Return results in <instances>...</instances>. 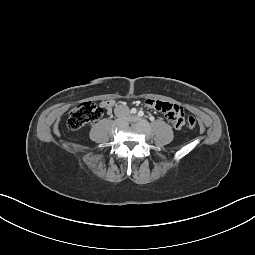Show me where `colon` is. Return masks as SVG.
I'll return each instance as SVG.
<instances>
[{"label": "colon", "mask_w": 255, "mask_h": 255, "mask_svg": "<svg viewBox=\"0 0 255 255\" xmlns=\"http://www.w3.org/2000/svg\"><path fill=\"white\" fill-rule=\"evenodd\" d=\"M102 113V109L98 107L95 103L84 102L78 104L69 112L67 122L68 127L72 130H78L89 123L99 120L102 116ZM185 124L188 126L189 129H194L196 125V120L194 117L189 116L186 118Z\"/></svg>", "instance_id": "colon-1"}]
</instances>
